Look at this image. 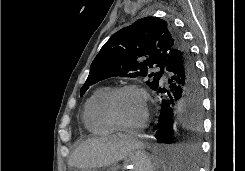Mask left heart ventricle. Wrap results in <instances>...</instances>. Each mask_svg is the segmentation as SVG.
<instances>
[{
	"instance_id": "b2bd125f",
	"label": "left heart ventricle",
	"mask_w": 245,
	"mask_h": 171,
	"mask_svg": "<svg viewBox=\"0 0 245 171\" xmlns=\"http://www.w3.org/2000/svg\"><path fill=\"white\" fill-rule=\"evenodd\" d=\"M115 109L123 123L136 125L144 119L146 100L139 92L126 91L117 97Z\"/></svg>"
}]
</instances>
